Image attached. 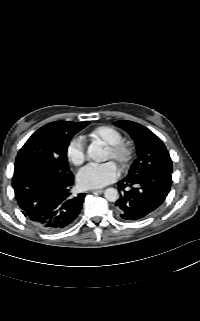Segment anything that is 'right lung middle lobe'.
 Listing matches in <instances>:
<instances>
[{
    "mask_svg": "<svg viewBox=\"0 0 200 321\" xmlns=\"http://www.w3.org/2000/svg\"><path fill=\"white\" fill-rule=\"evenodd\" d=\"M89 122H74L65 128L50 123L38 129L18 152L15 166L24 162L43 161L59 171L70 172L67 148L71 138Z\"/></svg>",
    "mask_w": 200,
    "mask_h": 321,
    "instance_id": "right-lung-middle-lobe-1",
    "label": "right lung middle lobe"
}]
</instances>
